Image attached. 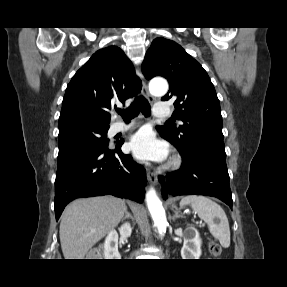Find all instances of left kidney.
Here are the masks:
<instances>
[{
  "label": "left kidney",
  "instance_id": "1",
  "mask_svg": "<svg viewBox=\"0 0 287 287\" xmlns=\"http://www.w3.org/2000/svg\"><path fill=\"white\" fill-rule=\"evenodd\" d=\"M181 249L182 259H199L201 256V239L198 231L194 227L188 228Z\"/></svg>",
  "mask_w": 287,
  "mask_h": 287
}]
</instances>
